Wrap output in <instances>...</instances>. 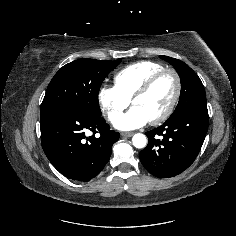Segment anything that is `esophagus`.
<instances>
[{"mask_svg":"<svg viewBox=\"0 0 236 236\" xmlns=\"http://www.w3.org/2000/svg\"><path fill=\"white\" fill-rule=\"evenodd\" d=\"M133 132H123L121 135L123 136V137H131V136H133Z\"/></svg>","mask_w":236,"mask_h":236,"instance_id":"obj_1","label":"esophagus"}]
</instances>
